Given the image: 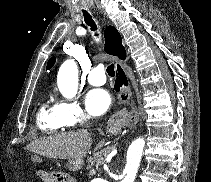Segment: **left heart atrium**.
I'll list each match as a JSON object with an SVG mask.
<instances>
[{"instance_id":"left-heart-atrium-1","label":"left heart atrium","mask_w":211,"mask_h":182,"mask_svg":"<svg viewBox=\"0 0 211 182\" xmlns=\"http://www.w3.org/2000/svg\"><path fill=\"white\" fill-rule=\"evenodd\" d=\"M85 103L91 115L99 116L109 108L111 98L107 91L103 89H93L87 93Z\"/></svg>"}]
</instances>
